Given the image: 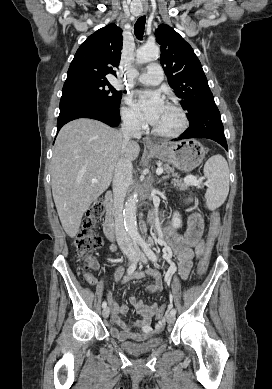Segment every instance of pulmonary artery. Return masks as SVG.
I'll list each match as a JSON object with an SVG mask.
<instances>
[{
  "label": "pulmonary artery",
  "mask_w": 272,
  "mask_h": 389,
  "mask_svg": "<svg viewBox=\"0 0 272 389\" xmlns=\"http://www.w3.org/2000/svg\"><path fill=\"white\" fill-rule=\"evenodd\" d=\"M163 76V70L160 64L150 63L147 65L146 70L141 73L137 79L143 84L156 85L163 80Z\"/></svg>",
  "instance_id": "1"
}]
</instances>
